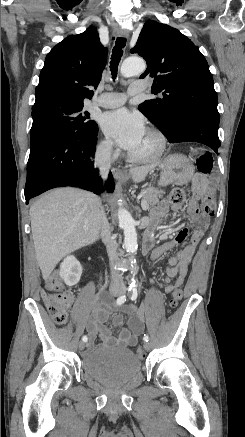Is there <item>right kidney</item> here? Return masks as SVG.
I'll return each instance as SVG.
<instances>
[{
  "label": "right kidney",
  "mask_w": 245,
  "mask_h": 437,
  "mask_svg": "<svg viewBox=\"0 0 245 437\" xmlns=\"http://www.w3.org/2000/svg\"><path fill=\"white\" fill-rule=\"evenodd\" d=\"M81 274L82 266L73 255L67 256L60 265L59 275L69 286H73L78 283Z\"/></svg>",
  "instance_id": "right-kidney-1"
}]
</instances>
